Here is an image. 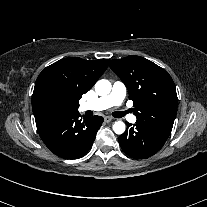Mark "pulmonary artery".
<instances>
[{"mask_svg":"<svg viewBox=\"0 0 207 207\" xmlns=\"http://www.w3.org/2000/svg\"><path fill=\"white\" fill-rule=\"evenodd\" d=\"M126 95V87L120 82L116 81L113 86L111 92L103 97L97 98L91 102L84 103L81 107V111H101L107 108H110L114 105L120 107V112L125 116L129 122L135 123L136 117L134 115L127 114L126 108L122 106L123 99Z\"/></svg>","mask_w":207,"mask_h":207,"instance_id":"obj_1","label":"pulmonary artery"}]
</instances>
